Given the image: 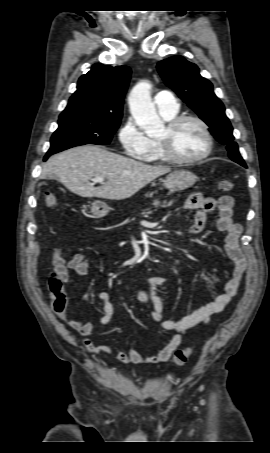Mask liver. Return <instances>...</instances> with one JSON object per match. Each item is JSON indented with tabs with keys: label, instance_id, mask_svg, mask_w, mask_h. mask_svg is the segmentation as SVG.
I'll use <instances>...</instances> for the list:
<instances>
[{
	"label": "liver",
	"instance_id": "6515ba94",
	"mask_svg": "<svg viewBox=\"0 0 270 453\" xmlns=\"http://www.w3.org/2000/svg\"><path fill=\"white\" fill-rule=\"evenodd\" d=\"M170 171L166 166L148 165L97 146L84 145L53 155L44 164L41 177L47 174L57 177L68 190L81 197L123 200ZM98 176L106 182L94 187L89 180Z\"/></svg>",
	"mask_w": 270,
	"mask_h": 453
}]
</instances>
